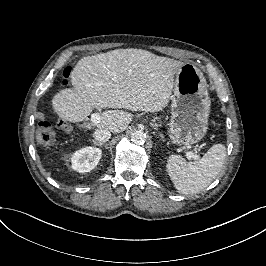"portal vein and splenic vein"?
<instances>
[{
  "label": "portal vein and splenic vein",
  "mask_w": 266,
  "mask_h": 266,
  "mask_svg": "<svg viewBox=\"0 0 266 266\" xmlns=\"http://www.w3.org/2000/svg\"><path fill=\"white\" fill-rule=\"evenodd\" d=\"M91 121L95 124L99 123L100 122V116L97 114V113H93L91 115ZM186 156L188 159H199V156L197 154H194L193 152L189 151L186 153Z\"/></svg>",
  "instance_id": "1"
}]
</instances>
